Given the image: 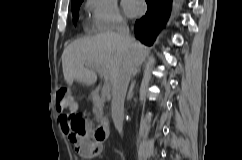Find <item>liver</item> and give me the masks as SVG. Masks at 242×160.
<instances>
[{
    "instance_id": "liver-1",
    "label": "liver",
    "mask_w": 242,
    "mask_h": 160,
    "mask_svg": "<svg viewBox=\"0 0 242 160\" xmlns=\"http://www.w3.org/2000/svg\"><path fill=\"white\" fill-rule=\"evenodd\" d=\"M131 46L116 33H103L93 37L78 39L69 44L62 53L64 79L68 85L74 80L86 85L97 81V74L84 65L92 64L104 67L109 75L112 87L119 73H124L127 63L140 66L148 57L150 49L131 39Z\"/></svg>"
}]
</instances>
